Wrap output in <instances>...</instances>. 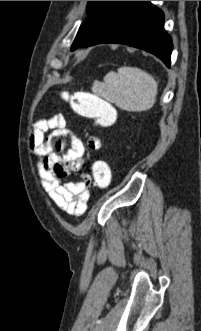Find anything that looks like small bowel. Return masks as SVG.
<instances>
[{
	"label": "small bowel",
	"instance_id": "1",
	"mask_svg": "<svg viewBox=\"0 0 201 331\" xmlns=\"http://www.w3.org/2000/svg\"><path fill=\"white\" fill-rule=\"evenodd\" d=\"M53 130L51 141L46 143L44 134ZM63 139L67 148L53 151L51 142ZM29 145L36 159V168L51 200L69 215L81 216L87 209L90 188L93 184L88 174H81L77 182L66 181L71 171H79L84 166V156L88 151L100 148V140L91 137L85 144L66 128V120L61 113L41 118L32 124L29 132Z\"/></svg>",
	"mask_w": 201,
	"mask_h": 331
}]
</instances>
